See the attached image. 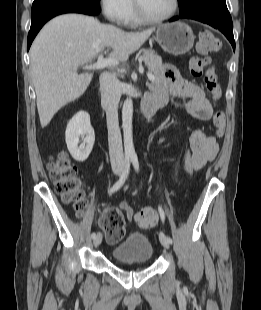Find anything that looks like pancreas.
Returning a JSON list of instances; mask_svg holds the SVG:
<instances>
[{"label": "pancreas", "mask_w": 261, "mask_h": 310, "mask_svg": "<svg viewBox=\"0 0 261 310\" xmlns=\"http://www.w3.org/2000/svg\"><path fill=\"white\" fill-rule=\"evenodd\" d=\"M143 59L148 69L154 73L155 81L149 86L151 90H154L160 81V68L162 66L161 58L153 51L146 50L143 52Z\"/></svg>", "instance_id": "1"}]
</instances>
